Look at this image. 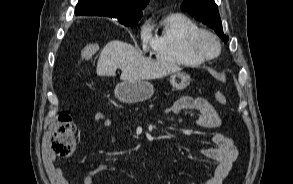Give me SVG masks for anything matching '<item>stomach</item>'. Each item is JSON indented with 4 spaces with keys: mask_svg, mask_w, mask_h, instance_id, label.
<instances>
[{
    "mask_svg": "<svg viewBox=\"0 0 293 184\" xmlns=\"http://www.w3.org/2000/svg\"><path fill=\"white\" fill-rule=\"evenodd\" d=\"M191 78L184 72H175L170 75V83L176 90L185 89ZM154 93L153 85L147 80H126L119 83L115 90V97L126 104L143 102L150 99Z\"/></svg>",
    "mask_w": 293,
    "mask_h": 184,
    "instance_id": "1",
    "label": "stomach"
}]
</instances>
